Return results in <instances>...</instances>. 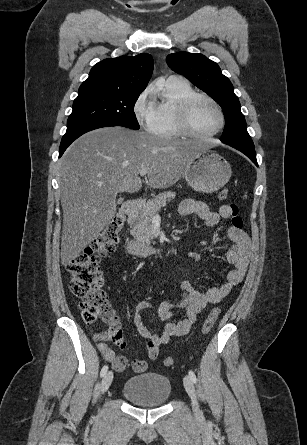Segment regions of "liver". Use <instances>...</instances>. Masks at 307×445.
<instances>
[{
	"label": "liver",
	"mask_w": 307,
	"mask_h": 445,
	"mask_svg": "<svg viewBox=\"0 0 307 445\" xmlns=\"http://www.w3.org/2000/svg\"><path fill=\"white\" fill-rule=\"evenodd\" d=\"M201 150L196 140L161 138L145 130L105 126L82 134L61 158V263L70 265L105 229L118 192H138L140 170L152 188H168Z\"/></svg>",
	"instance_id": "6515ba94"
}]
</instances>
